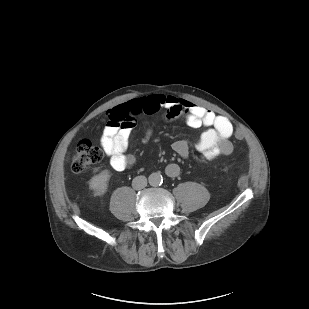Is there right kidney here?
Listing matches in <instances>:
<instances>
[{"instance_id":"ca27d5eb","label":"right kidney","mask_w":309,"mask_h":309,"mask_svg":"<svg viewBox=\"0 0 309 309\" xmlns=\"http://www.w3.org/2000/svg\"><path fill=\"white\" fill-rule=\"evenodd\" d=\"M109 179L110 173L108 171H102L90 179L89 187L95 191V194L103 195L107 191Z\"/></svg>"}]
</instances>
